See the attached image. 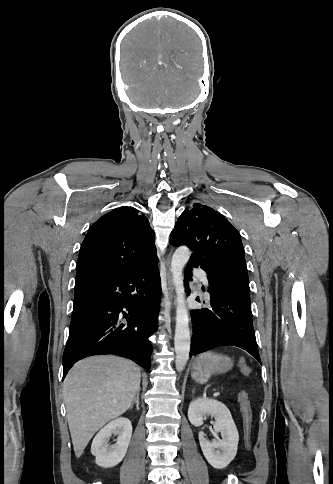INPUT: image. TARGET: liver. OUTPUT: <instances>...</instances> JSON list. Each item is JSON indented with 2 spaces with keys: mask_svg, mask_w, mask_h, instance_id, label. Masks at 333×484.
I'll list each match as a JSON object with an SVG mask.
<instances>
[{
  "mask_svg": "<svg viewBox=\"0 0 333 484\" xmlns=\"http://www.w3.org/2000/svg\"><path fill=\"white\" fill-rule=\"evenodd\" d=\"M140 369L116 356L77 362L63 383V396L74 452L79 458L93 435L124 414L140 390Z\"/></svg>",
  "mask_w": 333,
  "mask_h": 484,
  "instance_id": "obj_1",
  "label": "liver"
}]
</instances>
